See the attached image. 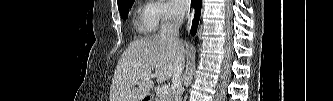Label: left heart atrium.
I'll return each mask as SVG.
<instances>
[{"label": "left heart atrium", "instance_id": "left-heart-atrium-1", "mask_svg": "<svg viewBox=\"0 0 333 101\" xmlns=\"http://www.w3.org/2000/svg\"><path fill=\"white\" fill-rule=\"evenodd\" d=\"M172 4L178 12L186 11L189 6V2L187 0H173Z\"/></svg>", "mask_w": 333, "mask_h": 101}]
</instances>
